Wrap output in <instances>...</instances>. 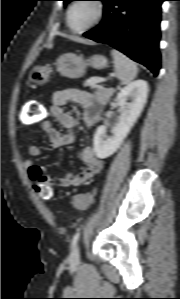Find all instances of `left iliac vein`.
Here are the masks:
<instances>
[{"label": "left iliac vein", "instance_id": "1", "mask_svg": "<svg viewBox=\"0 0 180 299\" xmlns=\"http://www.w3.org/2000/svg\"><path fill=\"white\" fill-rule=\"evenodd\" d=\"M70 261L73 264H78L80 261V251H79V246L76 245L73 249V251L70 254Z\"/></svg>", "mask_w": 180, "mask_h": 299}]
</instances>
